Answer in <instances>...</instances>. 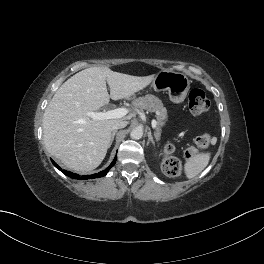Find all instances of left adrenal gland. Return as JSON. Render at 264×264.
<instances>
[{"mask_svg":"<svg viewBox=\"0 0 264 264\" xmlns=\"http://www.w3.org/2000/svg\"><path fill=\"white\" fill-rule=\"evenodd\" d=\"M150 142H151L152 144H154V138H153L151 132H148V141H147V145H148Z\"/></svg>","mask_w":264,"mask_h":264,"instance_id":"left-adrenal-gland-1","label":"left adrenal gland"}]
</instances>
